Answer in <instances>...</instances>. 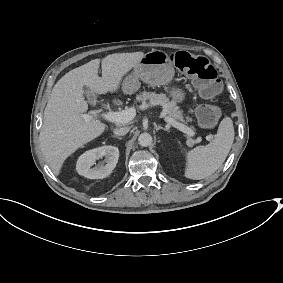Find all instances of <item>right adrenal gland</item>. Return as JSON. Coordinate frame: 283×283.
Returning a JSON list of instances; mask_svg holds the SVG:
<instances>
[{
  "mask_svg": "<svg viewBox=\"0 0 283 283\" xmlns=\"http://www.w3.org/2000/svg\"><path fill=\"white\" fill-rule=\"evenodd\" d=\"M113 138H118V139H122V137H119L118 135H112Z\"/></svg>",
  "mask_w": 283,
  "mask_h": 283,
  "instance_id": "right-adrenal-gland-1",
  "label": "right adrenal gland"
}]
</instances>
